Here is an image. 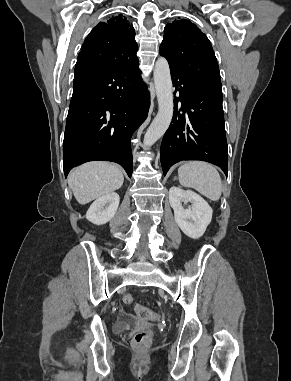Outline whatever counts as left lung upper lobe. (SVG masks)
Here are the masks:
<instances>
[{
  "mask_svg": "<svg viewBox=\"0 0 291 381\" xmlns=\"http://www.w3.org/2000/svg\"><path fill=\"white\" fill-rule=\"evenodd\" d=\"M160 54L187 78L204 85L221 86L219 66L207 36L189 20L168 23Z\"/></svg>",
  "mask_w": 291,
  "mask_h": 381,
  "instance_id": "1",
  "label": "left lung upper lobe"
}]
</instances>
